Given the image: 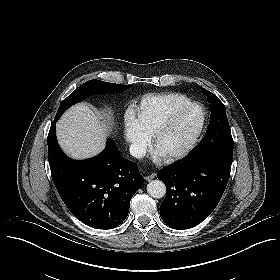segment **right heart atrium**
I'll use <instances>...</instances> for the list:
<instances>
[{
  "mask_svg": "<svg viewBox=\"0 0 280 280\" xmlns=\"http://www.w3.org/2000/svg\"><path fill=\"white\" fill-rule=\"evenodd\" d=\"M129 141H130L132 147H133V148L135 149V151H137V152L142 153V152L145 151V149H146V147H147V142H146V140H145L143 137H141V136H139V135H137V134L130 135Z\"/></svg>",
  "mask_w": 280,
  "mask_h": 280,
  "instance_id": "d8ad5b80",
  "label": "right heart atrium"
}]
</instances>
